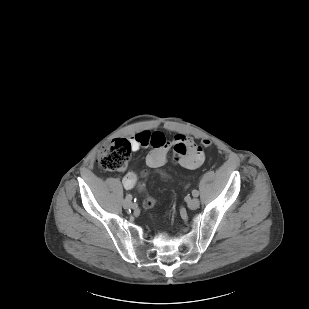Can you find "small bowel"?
Masks as SVG:
<instances>
[{
	"label": "small bowel",
	"instance_id": "small-bowel-1",
	"mask_svg": "<svg viewBox=\"0 0 309 309\" xmlns=\"http://www.w3.org/2000/svg\"><path fill=\"white\" fill-rule=\"evenodd\" d=\"M131 145L134 151L146 146L153 148L146 159L147 165L151 168L163 165L170 151L173 163L184 169H196L205 159L202 147L183 133H176L172 142H168L161 131L143 130L131 138ZM136 181L137 175L132 171L123 177V185L127 189H132Z\"/></svg>",
	"mask_w": 309,
	"mask_h": 309
}]
</instances>
